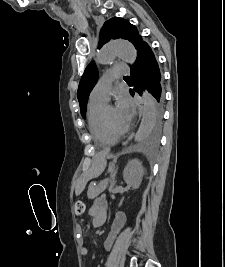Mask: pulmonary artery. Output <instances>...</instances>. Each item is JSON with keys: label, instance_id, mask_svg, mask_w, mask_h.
<instances>
[{"label": "pulmonary artery", "instance_id": "obj_1", "mask_svg": "<svg viewBox=\"0 0 225 267\" xmlns=\"http://www.w3.org/2000/svg\"><path fill=\"white\" fill-rule=\"evenodd\" d=\"M129 73L125 64H115L105 71L99 78L97 84L90 94L91 100L107 102L110 95L112 83L115 79Z\"/></svg>", "mask_w": 225, "mask_h": 267}]
</instances>
